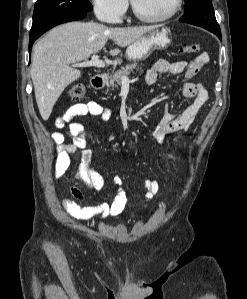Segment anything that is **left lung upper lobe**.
I'll use <instances>...</instances> for the list:
<instances>
[{
    "instance_id": "5c2ea615",
    "label": "left lung upper lobe",
    "mask_w": 247,
    "mask_h": 299,
    "mask_svg": "<svg viewBox=\"0 0 247 299\" xmlns=\"http://www.w3.org/2000/svg\"><path fill=\"white\" fill-rule=\"evenodd\" d=\"M185 14L180 22H199L220 29L211 0H185Z\"/></svg>"
}]
</instances>
